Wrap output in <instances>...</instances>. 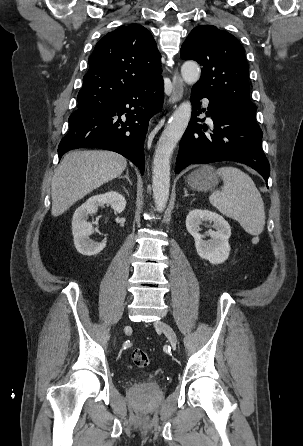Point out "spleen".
Segmentation results:
<instances>
[{"mask_svg": "<svg viewBox=\"0 0 303 446\" xmlns=\"http://www.w3.org/2000/svg\"><path fill=\"white\" fill-rule=\"evenodd\" d=\"M223 177V186L213 191L210 203L223 215L237 220L251 235L262 233L265 225L264 203L251 177L236 167H221L216 171Z\"/></svg>", "mask_w": 303, "mask_h": 446, "instance_id": "spleen-1", "label": "spleen"}]
</instances>
